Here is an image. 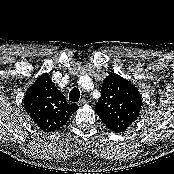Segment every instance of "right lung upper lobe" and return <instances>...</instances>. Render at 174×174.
I'll use <instances>...</instances> for the list:
<instances>
[{
    "label": "right lung upper lobe",
    "instance_id": "right-lung-upper-lobe-1",
    "mask_svg": "<svg viewBox=\"0 0 174 174\" xmlns=\"http://www.w3.org/2000/svg\"><path fill=\"white\" fill-rule=\"evenodd\" d=\"M23 102L32 121L45 132L61 128L79 108L77 104L66 102L47 73L42 74L27 90Z\"/></svg>",
    "mask_w": 174,
    "mask_h": 174
}]
</instances>
